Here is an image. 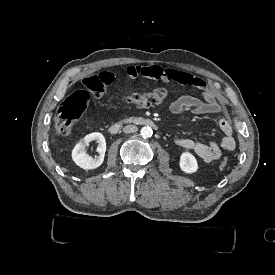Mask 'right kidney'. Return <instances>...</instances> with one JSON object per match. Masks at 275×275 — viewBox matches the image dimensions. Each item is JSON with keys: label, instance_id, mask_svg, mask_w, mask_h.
Here are the masks:
<instances>
[{"label": "right kidney", "instance_id": "obj_1", "mask_svg": "<svg viewBox=\"0 0 275 275\" xmlns=\"http://www.w3.org/2000/svg\"><path fill=\"white\" fill-rule=\"evenodd\" d=\"M91 141H97L99 146L97 152L100 153L99 156H90L86 151V145ZM106 151V141L104 136L99 132H94L86 135L84 138L80 139L72 150V160L73 162L84 170H93L100 167L104 162V156Z\"/></svg>", "mask_w": 275, "mask_h": 275}]
</instances>
